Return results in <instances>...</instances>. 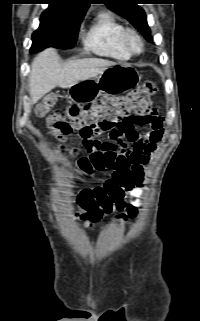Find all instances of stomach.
<instances>
[{"instance_id":"stomach-1","label":"stomach","mask_w":200,"mask_h":321,"mask_svg":"<svg viewBox=\"0 0 200 321\" xmlns=\"http://www.w3.org/2000/svg\"><path fill=\"white\" fill-rule=\"evenodd\" d=\"M138 71L130 66L114 64L97 78L83 80L69 89V97L78 103L93 101L101 93H125L140 82Z\"/></svg>"}]
</instances>
